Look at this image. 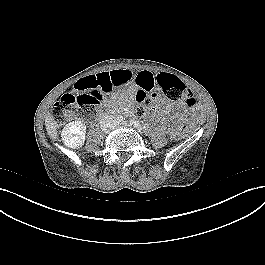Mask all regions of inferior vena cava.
<instances>
[{
    "instance_id": "602c4592",
    "label": "inferior vena cava",
    "mask_w": 265,
    "mask_h": 265,
    "mask_svg": "<svg viewBox=\"0 0 265 265\" xmlns=\"http://www.w3.org/2000/svg\"><path fill=\"white\" fill-rule=\"evenodd\" d=\"M100 127L104 132H109L115 127V118L113 115H104L100 120Z\"/></svg>"
}]
</instances>
